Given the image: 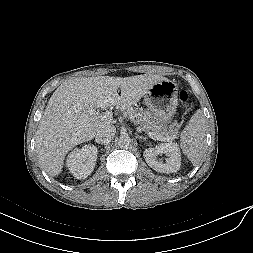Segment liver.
Listing matches in <instances>:
<instances>
[{"instance_id":"obj_1","label":"liver","mask_w":253,"mask_h":253,"mask_svg":"<svg viewBox=\"0 0 253 253\" xmlns=\"http://www.w3.org/2000/svg\"><path fill=\"white\" fill-rule=\"evenodd\" d=\"M165 79L160 75L143 74L65 81L51 96L36 132L41 167L52 177L59 175L65 155L73 147L92 140L102 126L111 125V121L99 119L95 108L105 110L115 106L124 111L144 97L154 84Z\"/></svg>"}]
</instances>
